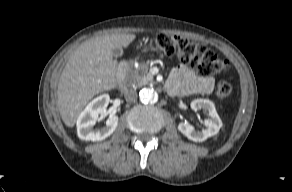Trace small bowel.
I'll use <instances>...</instances> for the list:
<instances>
[{
    "mask_svg": "<svg viewBox=\"0 0 292 192\" xmlns=\"http://www.w3.org/2000/svg\"><path fill=\"white\" fill-rule=\"evenodd\" d=\"M214 86L212 77H202L192 69L179 65L175 67L167 81V91L171 95L185 96L196 93H210Z\"/></svg>",
    "mask_w": 292,
    "mask_h": 192,
    "instance_id": "small-bowel-1",
    "label": "small bowel"
}]
</instances>
